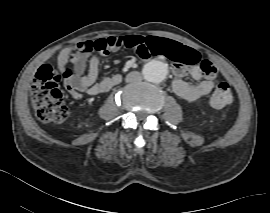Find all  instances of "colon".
Masks as SVG:
<instances>
[{
  "label": "colon",
  "mask_w": 270,
  "mask_h": 213,
  "mask_svg": "<svg viewBox=\"0 0 270 213\" xmlns=\"http://www.w3.org/2000/svg\"><path fill=\"white\" fill-rule=\"evenodd\" d=\"M156 39L149 42L154 45ZM145 41L138 36H127L126 47L130 48L137 55L145 48ZM203 73L212 76L214 68L209 61L202 64ZM72 76V70L66 63L62 73L56 72L50 65H41L36 73L31 87V99L34 104L38 118L43 122H63L69 114L68 107L64 100V95L59 86L62 77ZM233 96L231 87L227 82L217 85L211 96L210 103L214 108H222L232 102Z\"/></svg>",
  "instance_id": "obj_1"
}]
</instances>
